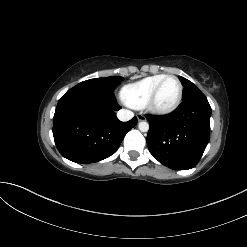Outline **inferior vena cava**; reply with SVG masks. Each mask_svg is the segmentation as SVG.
<instances>
[{
	"instance_id": "1",
	"label": "inferior vena cava",
	"mask_w": 247,
	"mask_h": 247,
	"mask_svg": "<svg viewBox=\"0 0 247 247\" xmlns=\"http://www.w3.org/2000/svg\"><path fill=\"white\" fill-rule=\"evenodd\" d=\"M117 117L120 121H129L134 117V113L127 109H121L117 112Z\"/></svg>"
}]
</instances>
